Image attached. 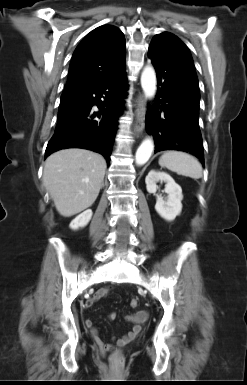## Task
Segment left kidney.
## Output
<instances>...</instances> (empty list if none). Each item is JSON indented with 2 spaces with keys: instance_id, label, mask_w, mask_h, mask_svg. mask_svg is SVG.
<instances>
[{
  "instance_id": "1",
  "label": "left kidney",
  "mask_w": 247,
  "mask_h": 385,
  "mask_svg": "<svg viewBox=\"0 0 247 385\" xmlns=\"http://www.w3.org/2000/svg\"><path fill=\"white\" fill-rule=\"evenodd\" d=\"M158 181L166 183L164 191L168 196L164 200L161 195H156L155 209L163 219L173 221L176 216L180 215L182 210V189L169 174L151 170L145 178L146 188L149 193H156L158 189L156 183Z\"/></svg>"
}]
</instances>
